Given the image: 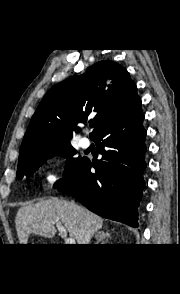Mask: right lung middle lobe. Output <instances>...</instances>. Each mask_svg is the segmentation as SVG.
<instances>
[{"label": "right lung middle lobe", "instance_id": "right-lung-middle-lobe-1", "mask_svg": "<svg viewBox=\"0 0 180 294\" xmlns=\"http://www.w3.org/2000/svg\"><path fill=\"white\" fill-rule=\"evenodd\" d=\"M75 154L76 150L70 143L39 150L31 157L18 163L17 177L22 179L24 176H31L48 158L59 155L67 158L65 177L54 185L55 188L60 187L78 172L86 160V158L81 157L74 158L73 155Z\"/></svg>", "mask_w": 180, "mask_h": 294}]
</instances>
